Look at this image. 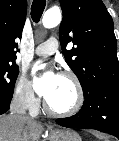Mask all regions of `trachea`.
Instances as JSON below:
<instances>
[{"label":"trachea","instance_id":"trachea-1","mask_svg":"<svg viewBox=\"0 0 119 141\" xmlns=\"http://www.w3.org/2000/svg\"><path fill=\"white\" fill-rule=\"evenodd\" d=\"M46 5V0H34L31 6V18L38 23Z\"/></svg>","mask_w":119,"mask_h":141}]
</instances>
